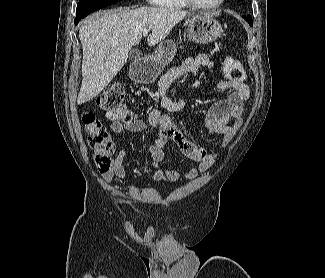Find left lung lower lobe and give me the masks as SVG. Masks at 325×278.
Instances as JSON below:
<instances>
[{
  "instance_id": "1",
  "label": "left lung lower lobe",
  "mask_w": 325,
  "mask_h": 278,
  "mask_svg": "<svg viewBox=\"0 0 325 278\" xmlns=\"http://www.w3.org/2000/svg\"><path fill=\"white\" fill-rule=\"evenodd\" d=\"M243 18L249 23L250 26L253 25L252 18L249 15L243 16Z\"/></svg>"
}]
</instances>
